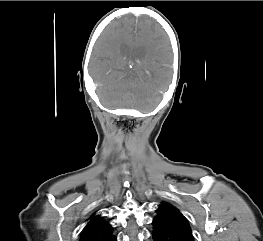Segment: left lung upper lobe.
Instances as JSON below:
<instances>
[{"mask_svg": "<svg viewBox=\"0 0 263 241\" xmlns=\"http://www.w3.org/2000/svg\"><path fill=\"white\" fill-rule=\"evenodd\" d=\"M155 220L168 225L187 237L193 238L187 219L175 207L167 203L159 205Z\"/></svg>", "mask_w": 263, "mask_h": 241, "instance_id": "1", "label": "left lung upper lobe"}]
</instances>
